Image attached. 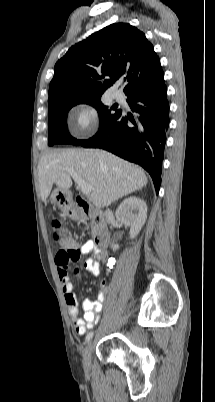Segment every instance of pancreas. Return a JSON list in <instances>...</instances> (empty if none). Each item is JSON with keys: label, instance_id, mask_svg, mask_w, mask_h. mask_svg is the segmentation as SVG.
<instances>
[{"label": "pancreas", "instance_id": "1", "mask_svg": "<svg viewBox=\"0 0 215 402\" xmlns=\"http://www.w3.org/2000/svg\"><path fill=\"white\" fill-rule=\"evenodd\" d=\"M91 229H92V236H95L97 232V227L94 222H91Z\"/></svg>", "mask_w": 215, "mask_h": 402}]
</instances>
